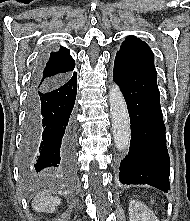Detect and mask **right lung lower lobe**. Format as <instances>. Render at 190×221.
<instances>
[{"label": "right lung lower lobe", "instance_id": "right-lung-lower-lobe-1", "mask_svg": "<svg viewBox=\"0 0 190 221\" xmlns=\"http://www.w3.org/2000/svg\"><path fill=\"white\" fill-rule=\"evenodd\" d=\"M37 71L28 98L23 140V163L34 173L59 167L68 169L75 159L76 128L72 112L77 75L63 81L38 84Z\"/></svg>", "mask_w": 190, "mask_h": 221}]
</instances>
